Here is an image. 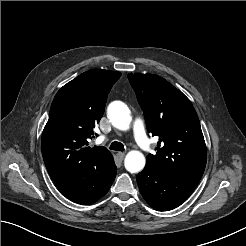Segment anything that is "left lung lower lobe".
I'll use <instances>...</instances> for the list:
<instances>
[{
	"instance_id": "0a47b994",
	"label": "left lung lower lobe",
	"mask_w": 246,
	"mask_h": 246,
	"mask_svg": "<svg viewBox=\"0 0 246 246\" xmlns=\"http://www.w3.org/2000/svg\"><path fill=\"white\" fill-rule=\"evenodd\" d=\"M136 179L143 198L158 211H168L181 205L199 182L185 175L146 167Z\"/></svg>"
}]
</instances>
